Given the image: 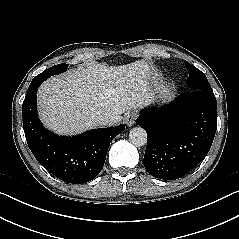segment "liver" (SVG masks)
Listing matches in <instances>:
<instances>
[{
    "label": "liver",
    "instance_id": "6515ba94",
    "mask_svg": "<svg viewBox=\"0 0 239 239\" xmlns=\"http://www.w3.org/2000/svg\"><path fill=\"white\" fill-rule=\"evenodd\" d=\"M147 75V64L137 61L110 67L91 63L51 77L37 94L40 118L49 129L62 135L99 126L98 115L112 117V124L119 123L121 114L147 102Z\"/></svg>",
    "mask_w": 239,
    "mask_h": 239
}]
</instances>
